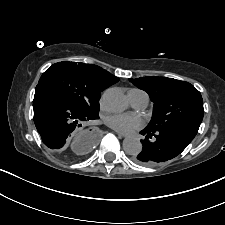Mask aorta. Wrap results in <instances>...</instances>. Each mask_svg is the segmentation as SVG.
Here are the masks:
<instances>
[{"instance_id": "aorta-1", "label": "aorta", "mask_w": 225, "mask_h": 225, "mask_svg": "<svg viewBox=\"0 0 225 225\" xmlns=\"http://www.w3.org/2000/svg\"><path fill=\"white\" fill-rule=\"evenodd\" d=\"M105 107L114 113L124 111L128 101L120 88H109L103 94ZM123 149L129 155H137L142 150V144L136 137H129L123 140Z\"/></svg>"}]
</instances>
